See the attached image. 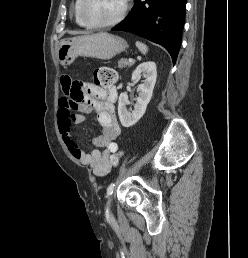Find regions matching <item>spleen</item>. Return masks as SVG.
Listing matches in <instances>:
<instances>
[{"mask_svg":"<svg viewBox=\"0 0 248 258\" xmlns=\"http://www.w3.org/2000/svg\"><path fill=\"white\" fill-rule=\"evenodd\" d=\"M136 46L143 55H146V53L148 52V47L144 43L137 41Z\"/></svg>","mask_w":248,"mask_h":258,"instance_id":"1","label":"spleen"}]
</instances>
